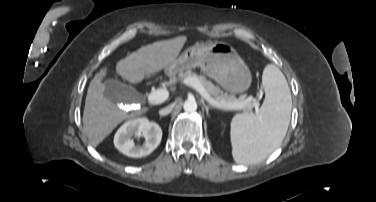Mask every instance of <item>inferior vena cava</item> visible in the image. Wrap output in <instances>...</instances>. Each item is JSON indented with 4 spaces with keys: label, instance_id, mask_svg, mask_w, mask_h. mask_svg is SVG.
<instances>
[{
    "label": "inferior vena cava",
    "instance_id": "obj_1",
    "mask_svg": "<svg viewBox=\"0 0 376 202\" xmlns=\"http://www.w3.org/2000/svg\"><path fill=\"white\" fill-rule=\"evenodd\" d=\"M173 109V105H169L161 110H159L160 116H166L168 115Z\"/></svg>",
    "mask_w": 376,
    "mask_h": 202
}]
</instances>
